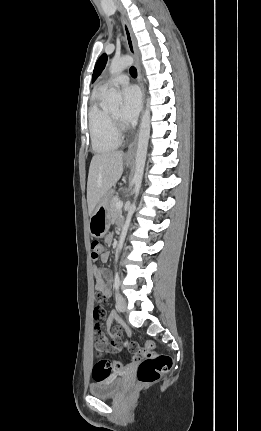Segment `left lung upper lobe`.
Here are the masks:
<instances>
[{
  "label": "left lung upper lobe",
  "mask_w": 261,
  "mask_h": 431,
  "mask_svg": "<svg viewBox=\"0 0 261 431\" xmlns=\"http://www.w3.org/2000/svg\"><path fill=\"white\" fill-rule=\"evenodd\" d=\"M106 62H107V55L102 54L95 65L92 81H94L100 75V73L102 72V70L106 65Z\"/></svg>",
  "instance_id": "left-lung-upper-lobe-1"
}]
</instances>
